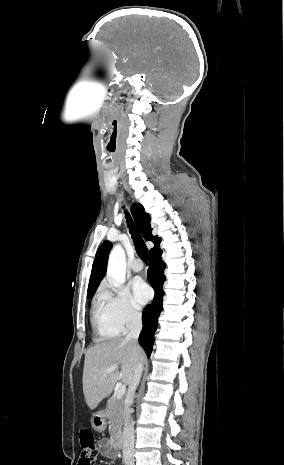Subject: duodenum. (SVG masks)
<instances>
[{"mask_svg":"<svg viewBox=\"0 0 284 465\" xmlns=\"http://www.w3.org/2000/svg\"><path fill=\"white\" fill-rule=\"evenodd\" d=\"M123 442L122 434L118 431L115 432L113 439H112V444L114 445V448H121Z\"/></svg>","mask_w":284,"mask_h":465,"instance_id":"obj_1","label":"duodenum"}]
</instances>
